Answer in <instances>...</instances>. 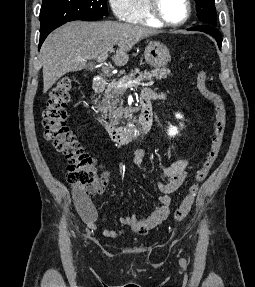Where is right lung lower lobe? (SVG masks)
I'll return each instance as SVG.
<instances>
[{"instance_id": "98d812e1", "label": "right lung lower lobe", "mask_w": 255, "mask_h": 287, "mask_svg": "<svg viewBox=\"0 0 255 287\" xmlns=\"http://www.w3.org/2000/svg\"><path fill=\"white\" fill-rule=\"evenodd\" d=\"M59 26L40 30V43H39V48L41 47L42 43L44 42L45 38L49 35L50 32H52L54 29H56Z\"/></svg>"}]
</instances>
